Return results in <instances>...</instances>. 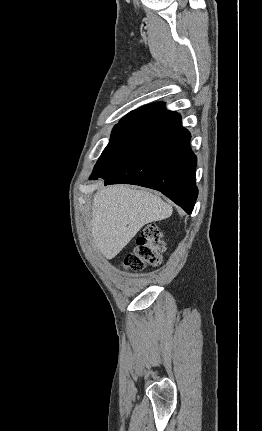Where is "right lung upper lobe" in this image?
I'll list each match as a JSON object with an SVG mask.
<instances>
[{
	"instance_id": "right-lung-upper-lobe-1",
	"label": "right lung upper lobe",
	"mask_w": 262,
	"mask_h": 431,
	"mask_svg": "<svg viewBox=\"0 0 262 431\" xmlns=\"http://www.w3.org/2000/svg\"><path fill=\"white\" fill-rule=\"evenodd\" d=\"M164 110H165L164 103H152L149 105H145L139 109H136L128 113L125 117H123L120 120L119 124L117 125L131 127L134 124L148 117H151L153 115L163 112Z\"/></svg>"
}]
</instances>
